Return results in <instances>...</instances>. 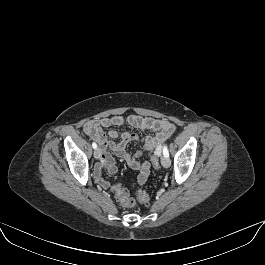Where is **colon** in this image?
I'll list each match as a JSON object with an SVG mask.
<instances>
[{
  "label": "colon",
  "instance_id": "1",
  "mask_svg": "<svg viewBox=\"0 0 265 265\" xmlns=\"http://www.w3.org/2000/svg\"><path fill=\"white\" fill-rule=\"evenodd\" d=\"M151 162L155 169L160 167L159 162V150H156L151 156ZM112 190L115 194L116 199L120 202V204L124 207L130 208L135 206L136 202L133 198L130 197L129 192L123 188L120 184H115L112 187ZM137 200L144 204L148 205L150 203V197L145 192H137L136 193Z\"/></svg>",
  "mask_w": 265,
  "mask_h": 265
}]
</instances>
